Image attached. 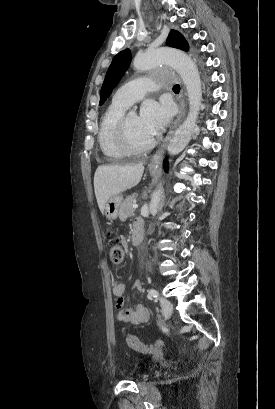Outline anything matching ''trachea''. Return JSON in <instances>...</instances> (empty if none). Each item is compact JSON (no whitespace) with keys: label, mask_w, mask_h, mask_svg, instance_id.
I'll return each instance as SVG.
<instances>
[{"label":"trachea","mask_w":275,"mask_h":409,"mask_svg":"<svg viewBox=\"0 0 275 409\" xmlns=\"http://www.w3.org/2000/svg\"><path fill=\"white\" fill-rule=\"evenodd\" d=\"M173 91H180V85L176 84L173 86Z\"/></svg>","instance_id":"3493384b"}]
</instances>
